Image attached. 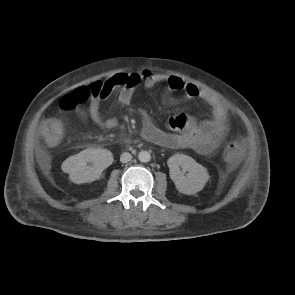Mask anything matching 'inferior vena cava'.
<instances>
[{"label":"inferior vena cava","instance_id":"1","mask_svg":"<svg viewBox=\"0 0 295 295\" xmlns=\"http://www.w3.org/2000/svg\"><path fill=\"white\" fill-rule=\"evenodd\" d=\"M132 159V155L130 153H122L121 156H120V161L122 163H127L129 162L130 160Z\"/></svg>","mask_w":295,"mask_h":295}]
</instances>
